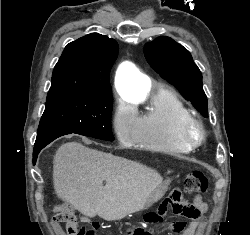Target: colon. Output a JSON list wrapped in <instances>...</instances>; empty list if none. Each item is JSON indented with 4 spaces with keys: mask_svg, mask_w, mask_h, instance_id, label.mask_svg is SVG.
Masks as SVG:
<instances>
[{
    "mask_svg": "<svg viewBox=\"0 0 250 235\" xmlns=\"http://www.w3.org/2000/svg\"><path fill=\"white\" fill-rule=\"evenodd\" d=\"M209 185L208 176L200 171H191L184 179V190L190 198H193L196 194L204 193L207 191ZM179 197H173L171 201V207L173 210H181L182 205L179 202ZM54 218L57 222L65 225L67 235H95L96 228H87L84 224L77 221L73 209L66 205L61 204L55 208ZM164 213L160 210V215ZM189 218V217H188ZM159 219H156L158 221ZM136 235H152L149 231H143L138 229Z\"/></svg>",
    "mask_w": 250,
    "mask_h": 235,
    "instance_id": "5ec220e1",
    "label": "colon"
}]
</instances>
